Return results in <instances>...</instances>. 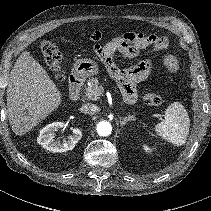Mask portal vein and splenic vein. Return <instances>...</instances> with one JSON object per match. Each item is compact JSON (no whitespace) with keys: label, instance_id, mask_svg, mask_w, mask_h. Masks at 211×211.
Wrapping results in <instances>:
<instances>
[{"label":"portal vein and splenic vein","instance_id":"obj_1","mask_svg":"<svg viewBox=\"0 0 211 211\" xmlns=\"http://www.w3.org/2000/svg\"><path fill=\"white\" fill-rule=\"evenodd\" d=\"M155 116H156L158 119L162 120V115H161V114H155Z\"/></svg>","mask_w":211,"mask_h":211}]
</instances>
